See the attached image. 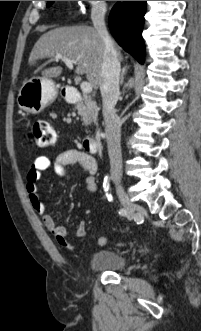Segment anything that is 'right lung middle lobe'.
I'll return each mask as SVG.
<instances>
[{
    "label": "right lung middle lobe",
    "instance_id": "dd1d6c3e",
    "mask_svg": "<svg viewBox=\"0 0 201 331\" xmlns=\"http://www.w3.org/2000/svg\"><path fill=\"white\" fill-rule=\"evenodd\" d=\"M54 1H48L47 6H50Z\"/></svg>",
    "mask_w": 201,
    "mask_h": 331
}]
</instances>
